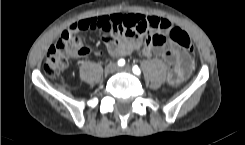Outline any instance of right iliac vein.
I'll use <instances>...</instances> for the list:
<instances>
[{
	"label": "right iliac vein",
	"mask_w": 245,
	"mask_h": 145,
	"mask_svg": "<svg viewBox=\"0 0 245 145\" xmlns=\"http://www.w3.org/2000/svg\"><path fill=\"white\" fill-rule=\"evenodd\" d=\"M115 69H116V64H114V63H109V64H107V65L105 66L104 72H105L106 74H111V73H113V72L115 71Z\"/></svg>",
	"instance_id": "63e3f726"
}]
</instances>
